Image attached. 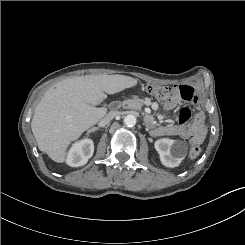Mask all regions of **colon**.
<instances>
[{
	"instance_id": "5ec220e1",
	"label": "colon",
	"mask_w": 245,
	"mask_h": 245,
	"mask_svg": "<svg viewBox=\"0 0 245 245\" xmlns=\"http://www.w3.org/2000/svg\"><path fill=\"white\" fill-rule=\"evenodd\" d=\"M147 91L161 102L167 101L172 94L171 88L167 86L149 85L147 86ZM200 154H201L200 146L197 145L191 146L189 150V157L191 159L197 158Z\"/></svg>"
}]
</instances>
